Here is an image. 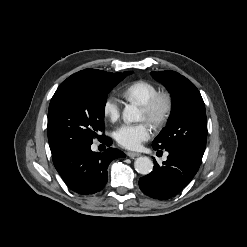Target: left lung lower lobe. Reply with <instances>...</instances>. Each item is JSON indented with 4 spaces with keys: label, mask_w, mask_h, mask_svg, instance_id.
Returning <instances> with one entry per match:
<instances>
[{
    "label": "left lung lower lobe",
    "mask_w": 247,
    "mask_h": 247,
    "mask_svg": "<svg viewBox=\"0 0 247 247\" xmlns=\"http://www.w3.org/2000/svg\"><path fill=\"white\" fill-rule=\"evenodd\" d=\"M153 146V145H152ZM155 150L157 147L153 146ZM162 166L154 160L153 171L141 177L139 187L145 195L167 199L180 192L197 173L202 156L187 150H169Z\"/></svg>",
    "instance_id": "left-lung-lower-lobe-1"
}]
</instances>
